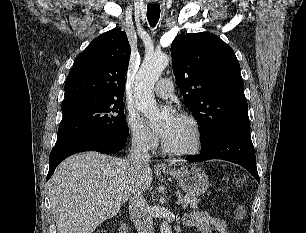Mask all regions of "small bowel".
I'll return each instance as SVG.
<instances>
[{"label":"small bowel","instance_id":"obj_1","mask_svg":"<svg viewBox=\"0 0 306 233\" xmlns=\"http://www.w3.org/2000/svg\"><path fill=\"white\" fill-rule=\"evenodd\" d=\"M189 227H198L201 233H230L225 220L213 217L206 212H191L183 217Z\"/></svg>","mask_w":306,"mask_h":233}]
</instances>
